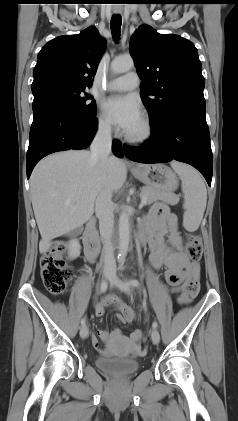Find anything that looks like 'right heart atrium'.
<instances>
[{
  "label": "right heart atrium",
  "instance_id": "1",
  "mask_svg": "<svg viewBox=\"0 0 238 421\" xmlns=\"http://www.w3.org/2000/svg\"><path fill=\"white\" fill-rule=\"evenodd\" d=\"M97 127L98 131L105 136H110L114 131L111 121L103 113H100L97 117Z\"/></svg>",
  "mask_w": 238,
  "mask_h": 421
}]
</instances>
